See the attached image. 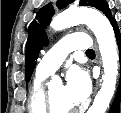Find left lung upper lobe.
Returning <instances> with one entry per match:
<instances>
[{
	"instance_id": "obj_1",
	"label": "left lung upper lobe",
	"mask_w": 121,
	"mask_h": 113,
	"mask_svg": "<svg viewBox=\"0 0 121 113\" xmlns=\"http://www.w3.org/2000/svg\"><path fill=\"white\" fill-rule=\"evenodd\" d=\"M74 0H58L56 5L59 8L66 7ZM80 6H91L102 11L108 19H111V12L105 0H80ZM54 14L53 6L48 4L41 8L28 28V39L26 43L25 74L28 82L36 66V60L40 49L47 43L45 31L40 27H46Z\"/></svg>"
}]
</instances>
